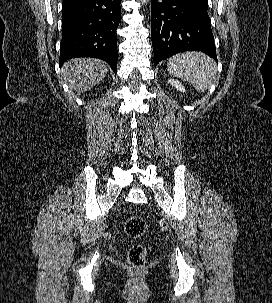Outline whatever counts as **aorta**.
<instances>
[{
  "label": "aorta",
  "mask_w": 272,
  "mask_h": 303,
  "mask_svg": "<svg viewBox=\"0 0 272 303\" xmlns=\"http://www.w3.org/2000/svg\"><path fill=\"white\" fill-rule=\"evenodd\" d=\"M150 0H141L143 5H147L149 3Z\"/></svg>",
  "instance_id": "762f6f07"
}]
</instances>
